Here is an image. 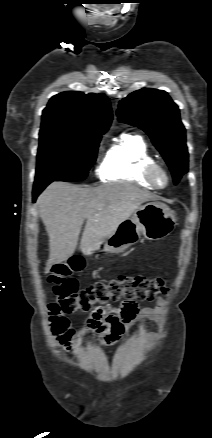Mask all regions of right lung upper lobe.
Wrapping results in <instances>:
<instances>
[{
  "label": "right lung upper lobe",
  "instance_id": "cb5924a9",
  "mask_svg": "<svg viewBox=\"0 0 212 438\" xmlns=\"http://www.w3.org/2000/svg\"><path fill=\"white\" fill-rule=\"evenodd\" d=\"M112 121L109 99L103 94L62 92L43 110L40 133L104 134Z\"/></svg>",
  "mask_w": 212,
  "mask_h": 438
}]
</instances>
